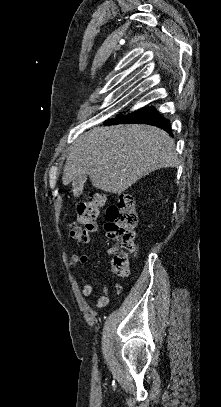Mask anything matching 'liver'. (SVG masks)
I'll return each instance as SVG.
<instances>
[{"instance_id":"liver-1","label":"liver","mask_w":221,"mask_h":407,"mask_svg":"<svg viewBox=\"0 0 221 407\" xmlns=\"http://www.w3.org/2000/svg\"><path fill=\"white\" fill-rule=\"evenodd\" d=\"M179 164L174 139L149 125H112L91 129L70 147L62 182L87 174L92 186L113 194L126 191L149 173Z\"/></svg>"}]
</instances>
